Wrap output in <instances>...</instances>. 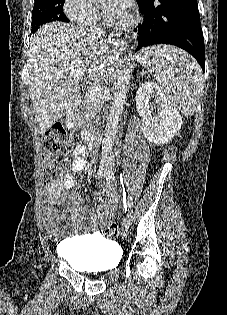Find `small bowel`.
I'll use <instances>...</instances> for the list:
<instances>
[{
    "label": "small bowel",
    "mask_w": 227,
    "mask_h": 315,
    "mask_svg": "<svg viewBox=\"0 0 227 315\" xmlns=\"http://www.w3.org/2000/svg\"><path fill=\"white\" fill-rule=\"evenodd\" d=\"M86 148L84 145H77L73 149L72 173L64 175L60 180L53 182L47 187L43 188L44 195V210L43 222L50 230H57L60 221L65 219L68 215L72 220L77 222L80 218L87 216L99 222V215L96 210L90 209L85 204V200L77 194H68L67 191L73 188V175L82 171L86 167ZM109 215L112 216L116 209V195L109 193ZM68 198V204L63 211L55 209L54 205L62 198Z\"/></svg>",
    "instance_id": "obj_1"
}]
</instances>
